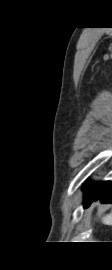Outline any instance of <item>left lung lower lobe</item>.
<instances>
[{
    "label": "left lung lower lobe",
    "instance_id": "1",
    "mask_svg": "<svg viewBox=\"0 0 112 270\" xmlns=\"http://www.w3.org/2000/svg\"><path fill=\"white\" fill-rule=\"evenodd\" d=\"M84 207H88L92 201L100 200L101 203L112 204V181L92 183L87 181L83 186Z\"/></svg>",
    "mask_w": 112,
    "mask_h": 270
}]
</instances>
